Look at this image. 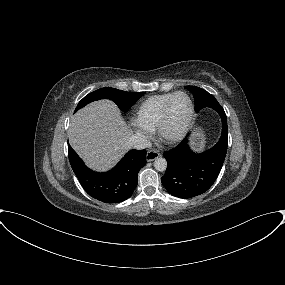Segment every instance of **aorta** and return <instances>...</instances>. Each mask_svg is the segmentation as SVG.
<instances>
[{"label": "aorta", "mask_w": 285, "mask_h": 285, "mask_svg": "<svg viewBox=\"0 0 285 285\" xmlns=\"http://www.w3.org/2000/svg\"><path fill=\"white\" fill-rule=\"evenodd\" d=\"M154 167L157 171L163 172L167 168V161L165 158L159 157L154 161Z\"/></svg>", "instance_id": "obj_1"}]
</instances>
